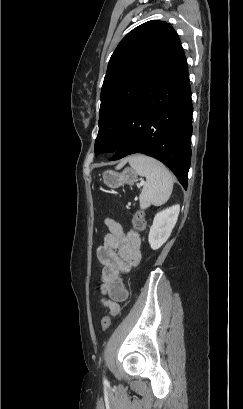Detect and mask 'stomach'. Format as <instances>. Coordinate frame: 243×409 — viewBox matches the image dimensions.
<instances>
[{
	"mask_svg": "<svg viewBox=\"0 0 243 409\" xmlns=\"http://www.w3.org/2000/svg\"><path fill=\"white\" fill-rule=\"evenodd\" d=\"M137 174L131 168H125L121 173L106 170L102 174V180L110 188H119L125 184L133 185L136 182Z\"/></svg>",
	"mask_w": 243,
	"mask_h": 409,
	"instance_id": "obj_1",
	"label": "stomach"
}]
</instances>
